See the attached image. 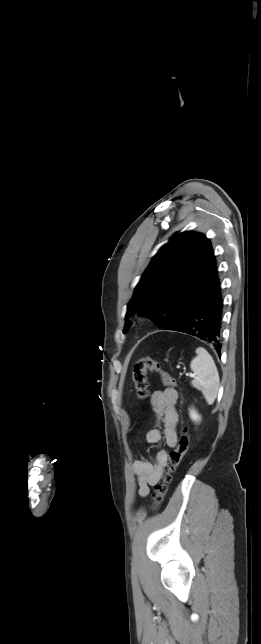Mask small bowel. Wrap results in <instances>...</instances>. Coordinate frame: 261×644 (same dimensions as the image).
Returning a JSON list of instances; mask_svg holds the SVG:
<instances>
[{
	"instance_id": "1",
	"label": "small bowel",
	"mask_w": 261,
	"mask_h": 644,
	"mask_svg": "<svg viewBox=\"0 0 261 644\" xmlns=\"http://www.w3.org/2000/svg\"><path fill=\"white\" fill-rule=\"evenodd\" d=\"M178 393L175 389L166 388L154 391L150 398V404L155 416L161 420L163 431L157 428L150 429L146 433V440L150 444H156L164 438L169 448H174L178 442L179 415L176 410ZM168 461V451L163 449L156 453L154 460H134L132 470L136 477L138 495L147 497L150 486L157 484L164 472Z\"/></svg>"
}]
</instances>
